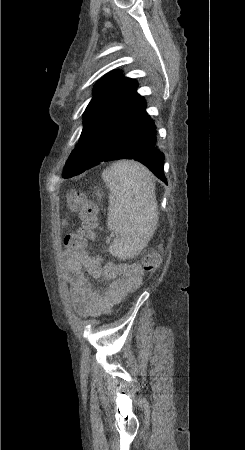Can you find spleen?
I'll return each instance as SVG.
<instances>
[{
  "mask_svg": "<svg viewBox=\"0 0 245 450\" xmlns=\"http://www.w3.org/2000/svg\"><path fill=\"white\" fill-rule=\"evenodd\" d=\"M110 190L108 229L117 235L109 252L129 259L139 254L157 224L155 186L150 171L135 161H119L102 173Z\"/></svg>",
  "mask_w": 245,
  "mask_h": 450,
  "instance_id": "3e777b00",
  "label": "spleen"
}]
</instances>
